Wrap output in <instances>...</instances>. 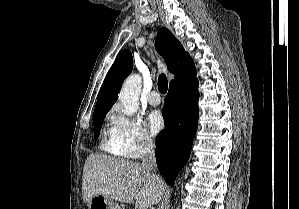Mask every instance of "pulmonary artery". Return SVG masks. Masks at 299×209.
<instances>
[{
    "label": "pulmonary artery",
    "instance_id": "pulmonary-artery-1",
    "mask_svg": "<svg viewBox=\"0 0 299 209\" xmlns=\"http://www.w3.org/2000/svg\"><path fill=\"white\" fill-rule=\"evenodd\" d=\"M147 101L149 104L157 106L161 103V97L157 91L153 90L148 94Z\"/></svg>",
    "mask_w": 299,
    "mask_h": 209
}]
</instances>
